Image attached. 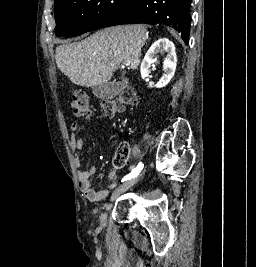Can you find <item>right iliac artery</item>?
<instances>
[{
  "label": "right iliac artery",
  "instance_id": "1",
  "mask_svg": "<svg viewBox=\"0 0 256 267\" xmlns=\"http://www.w3.org/2000/svg\"><path fill=\"white\" fill-rule=\"evenodd\" d=\"M143 169V164L140 162L137 167L128 175H126L123 179L122 182L126 181V180H130L131 178L136 177L140 171Z\"/></svg>",
  "mask_w": 256,
  "mask_h": 267
}]
</instances>
